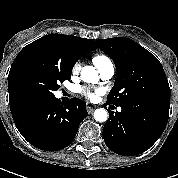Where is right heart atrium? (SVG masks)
Here are the masks:
<instances>
[{
  "mask_svg": "<svg viewBox=\"0 0 178 178\" xmlns=\"http://www.w3.org/2000/svg\"><path fill=\"white\" fill-rule=\"evenodd\" d=\"M80 70V64L76 63L72 68V74L76 75Z\"/></svg>",
  "mask_w": 178,
  "mask_h": 178,
  "instance_id": "1",
  "label": "right heart atrium"
}]
</instances>
